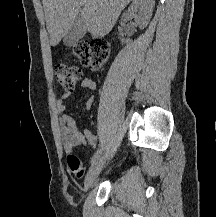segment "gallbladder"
I'll return each mask as SVG.
<instances>
[{
    "label": "gallbladder",
    "mask_w": 216,
    "mask_h": 217,
    "mask_svg": "<svg viewBox=\"0 0 216 217\" xmlns=\"http://www.w3.org/2000/svg\"><path fill=\"white\" fill-rule=\"evenodd\" d=\"M85 32L81 16L78 15L63 38L64 45L68 47L75 46L84 37Z\"/></svg>",
    "instance_id": "bac80fb5"
}]
</instances>
